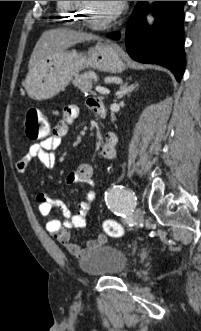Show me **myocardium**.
Returning a JSON list of instances; mask_svg holds the SVG:
<instances>
[{
  "label": "myocardium",
  "mask_w": 201,
  "mask_h": 331,
  "mask_svg": "<svg viewBox=\"0 0 201 331\" xmlns=\"http://www.w3.org/2000/svg\"><path fill=\"white\" fill-rule=\"evenodd\" d=\"M73 2L80 9L79 16L82 17V22L85 25L96 27V28H101V27H105V26L109 25L110 23L115 21L120 16L122 11L124 10L123 1H119L118 7L115 9V11L112 14H110L108 17H106L103 21L95 23V22H91L86 17V12L85 11H86V8H87V1H73Z\"/></svg>",
  "instance_id": "f54148a6"
}]
</instances>
